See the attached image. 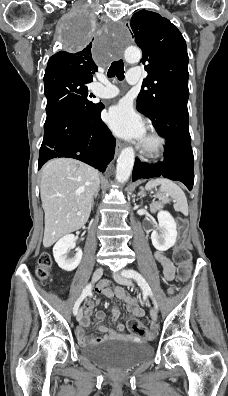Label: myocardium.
<instances>
[{"mask_svg": "<svg viewBox=\"0 0 228 396\" xmlns=\"http://www.w3.org/2000/svg\"><path fill=\"white\" fill-rule=\"evenodd\" d=\"M140 145V152L148 158L159 157L165 147L164 138L154 130H150Z\"/></svg>", "mask_w": 228, "mask_h": 396, "instance_id": "myocardium-1", "label": "myocardium"}]
</instances>
